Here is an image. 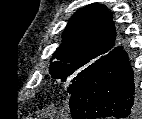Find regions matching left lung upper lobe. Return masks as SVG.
Here are the masks:
<instances>
[{"instance_id": "left-lung-upper-lobe-1", "label": "left lung upper lobe", "mask_w": 142, "mask_h": 119, "mask_svg": "<svg viewBox=\"0 0 142 119\" xmlns=\"http://www.w3.org/2000/svg\"><path fill=\"white\" fill-rule=\"evenodd\" d=\"M112 15L105 6L91 4L78 10L63 33V42L57 48L50 64L54 79L70 81L71 94L83 78L117 44Z\"/></svg>"}]
</instances>
